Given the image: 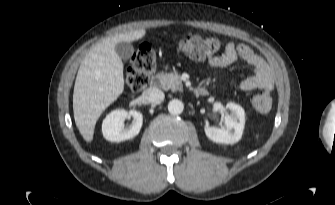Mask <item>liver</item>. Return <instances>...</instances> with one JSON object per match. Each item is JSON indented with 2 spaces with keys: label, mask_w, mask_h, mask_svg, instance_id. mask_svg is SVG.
<instances>
[{
  "label": "liver",
  "mask_w": 335,
  "mask_h": 205,
  "mask_svg": "<svg viewBox=\"0 0 335 205\" xmlns=\"http://www.w3.org/2000/svg\"><path fill=\"white\" fill-rule=\"evenodd\" d=\"M146 30L120 33L97 43L84 57L75 81L73 113L86 142L93 140L97 120L124 91L123 63L115 45L141 39Z\"/></svg>",
  "instance_id": "obj_1"
}]
</instances>
